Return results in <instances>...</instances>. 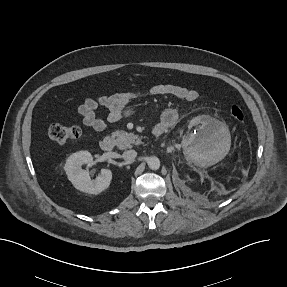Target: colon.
<instances>
[{"label":"colon","instance_id":"colon-1","mask_svg":"<svg viewBox=\"0 0 287 287\" xmlns=\"http://www.w3.org/2000/svg\"><path fill=\"white\" fill-rule=\"evenodd\" d=\"M229 112L231 117L236 121L242 122L245 118L244 109L239 103L231 104ZM46 135L49 139L58 144H68L80 137L81 130L75 125L64 126L59 124H51L47 128Z\"/></svg>","mask_w":287,"mask_h":287}]
</instances>
